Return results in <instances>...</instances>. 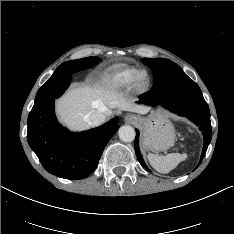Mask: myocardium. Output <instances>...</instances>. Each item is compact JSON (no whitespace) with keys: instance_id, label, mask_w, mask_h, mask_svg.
<instances>
[{"instance_id":"f54148a6","label":"myocardium","mask_w":234,"mask_h":234,"mask_svg":"<svg viewBox=\"0 0 234 234\" xmlns=\"http://www.w3.org/2000/svg\"><path fill=\"white\" fill-rule=\"evenodd\" d=\"M146 74L147 76V81L145 84L140 83V77ZM151 85V76L149 74V72L145 69H140L136 72V74L134 75L132 82H131V86L132 88L139 93L145 92L149 89Z\"/></svg>"}]
</instances>
